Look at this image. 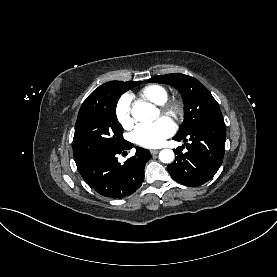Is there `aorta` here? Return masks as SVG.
<instances>
[{
    "instance_id": "1",
    "label": "aorta",
    "mask_w": 277,
    "mask_h": 277,
    "mask_svg": "<svg viewBox=\"0 0 277 277\" xmlns=\"http://www.w3.org/2000/svg\"><path fill=\"white\" fill-rule=\"evenodd\" d=\"M131 114L137 121L149 122L158 116V111L151 104L141 102L134 105ZM159 159L163 163H171L174 160V152L170 149H163L159 153Z\"/></svg>"
}]
</instances>
